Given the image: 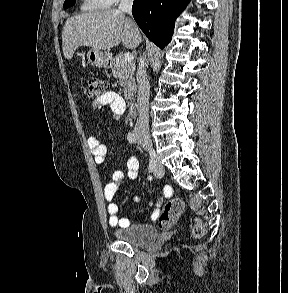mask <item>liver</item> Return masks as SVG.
Returning <instances> with one entry per match:
<instances>
[{"label":"liver","instance_id":"1","mask_svg":"<svg viewBox=\"0 0 288 293\" xmlns=\"http://www.w3.org/2000/svg\"><path fill=\"white\" fill-rule=\"evenodd\" d=\"M120 42L127 49H135L141 42V35L134 21L115 9L70 17L62 31L63 54L68 60L79 46L107 51Z\"/></svg>","mask_w":288,"mask_h":293}]
</instances>
